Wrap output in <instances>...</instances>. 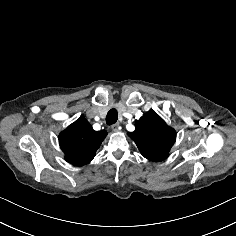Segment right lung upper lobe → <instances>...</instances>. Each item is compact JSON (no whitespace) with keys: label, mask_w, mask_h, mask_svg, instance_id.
Returning a JSON list of instances; mask_svg holds the SVG:
<instances>
[{"label":"right lung upper lobe","mask_w":236,"mask_h":236,"mask_svg":"<svg viewBox=\"0 0 236 236\" xmlns=\"http://www.w3.org/2000/svg\"><path fill=\"white\" fill-rule=\"evenodd\" d=\"M106 136L105 130L94 131L85 117L80 116L60 133L59 143L69 163L83 166L91 162Z\"/></svg>","instance_id":"cb5924a9"}]
</instances>
